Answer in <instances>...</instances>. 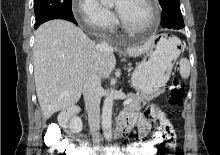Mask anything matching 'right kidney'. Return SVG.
I'll return each mask as SVG.
<instances>
[{"label": "right kidney", "mask_w": 220, "mask_h": 155, "mask_svg": "<svg viewBox=\"0 0 220 155\" xmlns=\"http://www.w3.org/2000/svg\"><path fill=\"white\" fill-rule=\"evenodd\" d=\"M70 129L73 133H79L82 130V121L79 117H74L70 122Z\"/></svg>", "instance_id": "obj_1"}]
</instances>
